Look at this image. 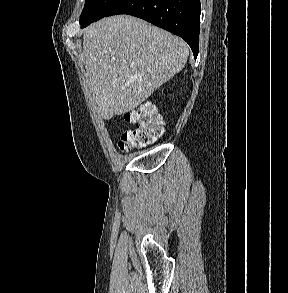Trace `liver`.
Wrapping results in <instances>:
<instances>
[{
  "instance_id": "obj_1",
  "label": "liver",
  "mask_w": 288,
  "mask_h": 293,
  "mask_svg": "<svg viewBox=\"0 0 288 293\" xmlns=\"http://www.w3.org/2000/svg\"><path fill=\"white\" fill-rule=\"evenodd\" d=\"M82 56L98 112L109 120L134 110L181 71L189 48L142 19L117 15L84 29Z\"/></svg>"
}]
</instances>
